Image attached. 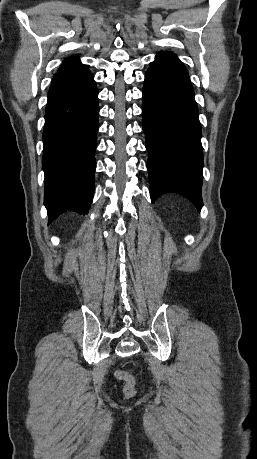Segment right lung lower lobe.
I'll return each instance as SVG.
<instances>
[{"label":"right lung lower lobe","mask_w":257,"mask_h":459,"mask_svg":"<svg viewBox=\"0 0 257 459\" xmlns=\"http://www.w3.org/2000/svg\"><path fill=\"white\" fill-rule=\"evenodd\" d=\"M98 90L91 73L52 83L43 130L44 204L49 224L62 213L87 214L93 200Z\"/></svg>","instance_id":"98d812e1"}]
</instances>
